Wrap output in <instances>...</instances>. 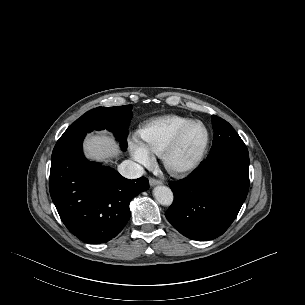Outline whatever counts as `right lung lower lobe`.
<instances>
[{"label":"right lung lower lobe","instance_id":"right-lung-lower-lobe-1","mask_svg":"<svg viewBox=\"0 0 305 305\" xmlns=\"http://www.w3.org/2000/svg\"><path fill=\"white\" fill-rule=\"evenodd\" d=\"M81 135L57 142L51 157L50 195L67 229L85 243L117 236L130 218L129 203L149 188L145 177L129 180L85 158Z\"/></svg>","mask_w":305,"mask_h":305}]
</instances>
